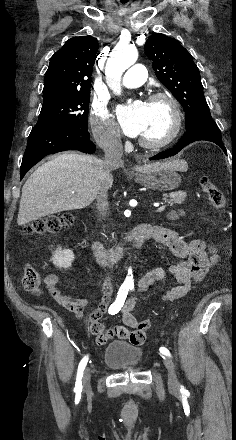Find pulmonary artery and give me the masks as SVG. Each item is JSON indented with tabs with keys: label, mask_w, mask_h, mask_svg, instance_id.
Listing matches in <instances>:
<instances>
[{
	"label": "pulmonary artery",
	"mask_w": 236,
	"mask_h": 440,
	"mask_svg": "<svg viewBox=\"0 0 236 440\" xmlns=\"http://www.w3.org/2000/svg\"><path fill=\"white\" fill-rule=\"evenodd\" d=\"M147 71L141 64L131 66L125 73L122 85L126 89L137 88L145 82Z\"/></svg>",
	"instance_id": "pulmonary-artery-1"
}]
</instances>
